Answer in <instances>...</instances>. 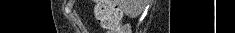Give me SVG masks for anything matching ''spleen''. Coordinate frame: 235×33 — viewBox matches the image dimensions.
<instances>
[{"mask_svg": "<svg viewBox=\"0 0 235 33\" xmlns=\"http://www.w3.org/2000/svg\"><path fill=\"white\" fill-rule=\"evenodd\" d=\"M140 12V9L137 11V13ZM133 12L132 11H128V14H132Z\"/></svg>", "mask_w": 235, "mask_h": 33, "instance_id": "obj_1", "label": "spleen"}]
</instances>
